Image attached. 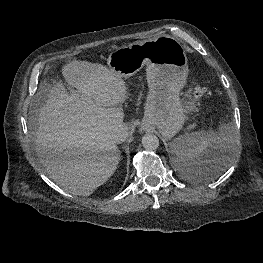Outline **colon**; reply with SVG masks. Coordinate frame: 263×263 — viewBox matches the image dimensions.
Instances as JSON below:
<instances>
[{
    "mask_svg": "<svg viewBox=\"0 0 263 263\" xmlns=\"http://www.w3.org/2000/svg\"><path fill=\"white\" fill-rule=\"evenodd\" d=\"M193 96L198 100H205L210 98L211 92L206 87L198 86L193 90Z\"/></svg>",
    "mask_w": 263,
    "mask_h": 263,
    "instance_id": "obj_1",
    "label": "colon"
}]
</instances>
